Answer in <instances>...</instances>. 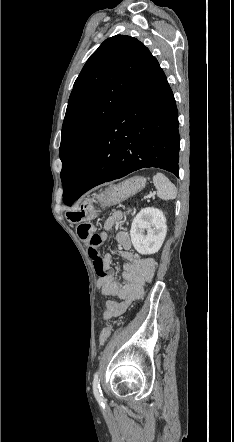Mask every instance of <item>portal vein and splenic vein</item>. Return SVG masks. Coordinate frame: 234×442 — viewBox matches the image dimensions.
Instances as JSON below:
<instances>
[{"label": "portal vein and splenic vein", "mask_w": 234, "mask_h": 442, "mask_svg": "<svg viewBox=\"0 0 234 442\" xmlns=\"http://www.w3.org/2000/svg\"><path fill=\"white\" fill-rule=\"evenodd\" d=\"M155 193H156L155 191L150 192L148 195L144 196V199H148V198L153 197L155 195Z\"/></svg>", "instance_id": "portal-vein-and-splenic-vein-1"}]
</instances>
